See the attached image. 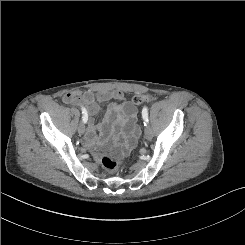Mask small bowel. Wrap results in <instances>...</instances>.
Instances as JSON below:
<instances>
[{
	"label": "small bowel",
	"instance_id": "small-bowel-1",
	"mask_svg": "<svg viewBox=\"0 0 245 245\" xmlns=\"http://www.w3.org/2000/svg\"><path fill=\"white\" fill-rule=\"evenodd\" d=\"M76 100H80L87 107L89 115L92 117L99 112L98 102L113 100L107 106L103 120L98 124L91 122L87 134L89 146L96 144L98 131L102 135L113 131V141L118 146L117 152L119 154H125L135 145L140 136V129L136 124V110L122 91L106 90L97 93L87 91L83 94L72 92L63 97L65 103H73Z\"/></svg>",
	"mask_w": 245,
	"mask_h": 245
}]
</instances>
